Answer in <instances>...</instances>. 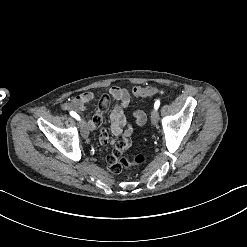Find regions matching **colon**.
I'll use <instances>...</instances> for the list:
<instances>
[{
	"label": "colon",
	"mask_w": 247,
	"mask_h": 247,
	"mask_svg": "<svg viewBox=\"0 0 247 247\" xmlns=\"http://www.w3.org/2000/svg\"><path fill=\"white\" fill-rule=\"evenodd\" d=\"M160 92V89L156 86H152V85H136L133 87L132 89V93L135 97H148V96H152V95H156ZM129 135V134H128ZM147 155L144 153H139L137 154L133 160L131 159L129 161V166L132 165V163H134L135 165H143L146 163L147 161Z\"/></svg>",
	"instance_id": "5ec220e1"
}]
</instances>
